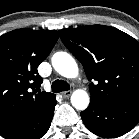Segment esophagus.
Segmentation results:
<instances>
[{"instance_id": "esophagus-1", "label": "esophagus", "mask_w": 139, "mask_h": 139, "mask_svg": "<svg viewBox=\"0 0 139 139\" xmlns=\"http://www.w3.org/2000/svg\"><path fill=\"white\" fill-rule=\"evenodd\" d=\"M71 94H72V91H71V90H68V91H64V92H62V95H63L65 98L70 97Z\"/></svg>"}]
</instances>
